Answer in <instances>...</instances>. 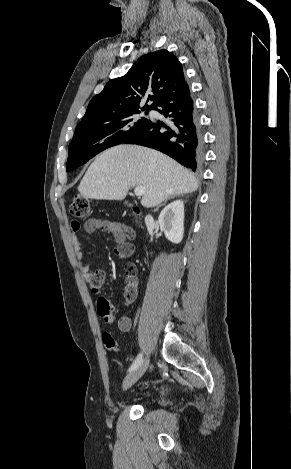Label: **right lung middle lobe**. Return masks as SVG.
<instances>
[{
    "mask_svg": "<svg viewBox=\"0 0 291 469\" xmlns=\"http://www.w3.org/2000/svg\"><path fill=\"white\" fill-rule=\"evenodd\" d=\"M138 113L140 111L137 109L101 119L81 121L69 145L67 171L86 163L99 152L123 143L144 126L149 120L138 118Z\"/></svg>",
    "mask_w": 291,
    "mask_h": 469,
    "instance_id": "obj_1",
    "label": "right lung middle lobe"
}]
</instances>
